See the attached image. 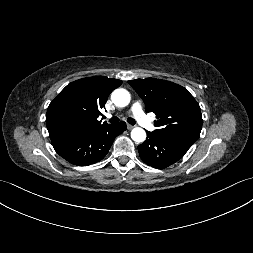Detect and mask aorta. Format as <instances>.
Segmentation results:
<instances>
[{
    "mask_svg": "<svg viewBox=\"0 0 253 253\" xmlns=\"http://www.w3.org/2000/svg\"><path fill=\"white\" fill-rule=\"evenodd\" d=\"M113 103L118 107H125L130 103V94L125 89H116L111 94ZM131 138L135 142H144L146 139V132L140 127H136L131 131Z\"/></svg>",
    "mask_w": 253,
    "mask_h": 253,
    "instance_id": "obj_1",
    "label": "aorta"
}]
</instances>
